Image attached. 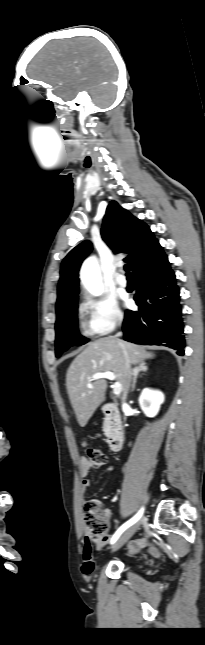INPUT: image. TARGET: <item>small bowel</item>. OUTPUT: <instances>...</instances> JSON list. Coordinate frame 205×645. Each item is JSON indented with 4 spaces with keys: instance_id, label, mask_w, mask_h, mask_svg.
Segmentation results:
<instances>
[{
    "instance_id": "small-bowel-1",
    "label": "small bowel",
    "mask_w": 205,
    "mask_h": 645,
    "mask_svg": "<svg viewBox=\"0 0 205 645\" xmlns=\"http://www.w3.org/2000/svg\"><path fill=\"white\" fill-rule=\"evenodd\" d=\"M93 467L89 464L86 458H82L80 461V467H79V474L81 477V485L83 488H88L90 486V479H89V474ZM109 470H112V467H108ZM104 516L106 518V521L108 523H111L112 520V513L109 509H106L104 511ZM112 539V538H111ZM150 546L149 553L152 556L158 555V549L157 547L150 542L147 539H137L132 541L129 544V551L131 554H135L138 552V550L144 546ZM83 563L86 566L93 567L95 564V559H94V554L92 551V548L87 544V541H85L84 549H83Z\"/></svg>"
}]
</instances>
